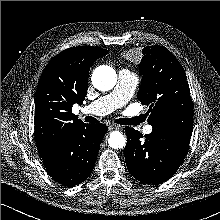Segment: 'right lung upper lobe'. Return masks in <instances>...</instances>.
Wrapping results in <instances>:
<instances>
[{"mask_svg":"<svg viewBox=\"0 0 220 220\" xmlns=\"http://www.w3.org/2000/svg\"><path fill=\"white\" fill-rule=\"evenodd\" d=\"M108 53L99 47L68 48L53 57L43 70L35 100V135L41 157L76 128L83 126L72 113L87 94L92 63Z\"/></svg>","mask_w":220,"mask_h":220,"instance_id":"1","label":"right lung upper lobe"}]
</instances>
